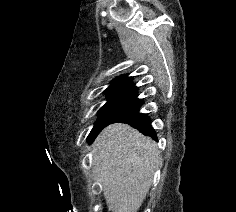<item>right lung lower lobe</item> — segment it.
<instances>
[{
  "label": "right lung lower lobe",
  "instance_id": "98d812e1",
  "mask_svg": "<svg viewBox=\"0 0 236 212\" xmlns=\"http://www.w3.org/2000/svg\"><path fill=\"white\" fill-rule=\"evenodd\" d=\"M143 102L142 99L137 98V87H135L129 92L128 98L117 109L105 126L115 122L128 123L144 135H149L157 140L156 132L151 125L150 117L147 114L139 112Z\"/></svg>",
  "mask_w": 236,
  "mask_h": 212
}]
</instances>
